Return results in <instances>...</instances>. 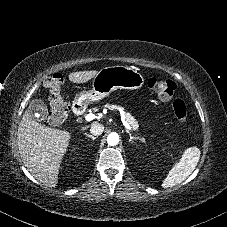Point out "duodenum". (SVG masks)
Segmentation results:
<instances>
[{
    "label": "duodenum",
    "mask_w": 227,
    "mask_h": 227,
    "mask_svg": "<svg viewBox=\"0 0 227 227\" xmlns=\"http://www.w3.org/2000/svg\"><path fill=\"white\" fill-rule=\"evenodd\" d=\"M73 110L76 115H82L84 113V107L81 104H74Z\"/></svg>",
    "instance_id": "410a0bca"
}]
</instances>
